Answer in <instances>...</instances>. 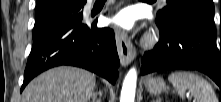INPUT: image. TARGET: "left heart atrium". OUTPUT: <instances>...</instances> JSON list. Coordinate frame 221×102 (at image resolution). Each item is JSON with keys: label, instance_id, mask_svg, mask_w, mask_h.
<instances>
[{"label": "left heart atrium", "instance_id": "obj_1", "mask_svg": "<svg viewBox=\"0 0 221 102\" xmlns=\"http://www.w3.org/2000/svg\"><path fill=\"white\" fill-rule=\"evenodd\" d=\"M110 23L124 30H131L135 25V18L132 11L124 9L110 18Z\"/></svg>", "mask_w": 221, "mask_h": 102}]
</instances>
